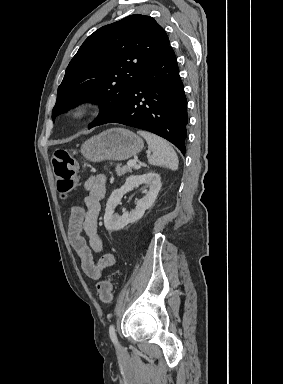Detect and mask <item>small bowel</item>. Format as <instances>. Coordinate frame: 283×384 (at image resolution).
I'll return each mask as SVG.
<instances>
[{
    "label": "small bowel",
    "mask_w": 283,
    "mask_h": 384,
    "mask_svg": "<svg viewBox=\"0 0 283 384\" xmlns=\"http://www.w3.org/2000/svg\"><path fill=\"white\" fill-rule=\"evenodd\" d=\"M87 192L84 198L85 209L73 207L69 219V239L76 252L83 272L91 279L97 280L102 271L113 265L115 259L111 254H104L95 261L94 254L103 251V243L97 233L98 216L101 200L106 192V177L103 174L90 176L84 183ZM88 237L86 241L82 234Z\"/></svg>",
    "instance_id": "small-bowel-1"
}]
</instances>
